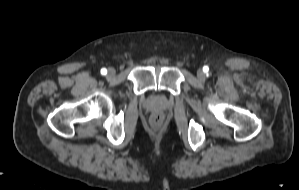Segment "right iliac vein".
Segmentation results:
<instances>
[{"label":"right iliac vein","mask_w":299,"mask_h":190,"mask_svg":"<svg viewBox=\"0 0 299 190\" xmlns=\"http://www.w3.org/2000/svg\"><path fill=\"white\" fill-rule=\"evenodd\" d=\"M115 75V70L113 69V68H110L109 70H108V76L109 77H113Z\"/></svg>","instance_id":"right-iliac-vein-1"}]
</instances>
